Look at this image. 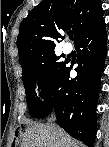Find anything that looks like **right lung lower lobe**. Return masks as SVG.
Instances as JSON below:
<instances>
[{
	"label": "right lung lower lobe",
	"mask_w": 109,
	"mask_h": 147,
	"mask_svg": "<svg viewBox=\"0 0 109 147\" xmlns=\"http://www.w3.org/2000/svg\"><path fill=\"white\" fill-rule=\"evenodd\" d=\"M106 40L102 16L74 42L78 51L77 77L69 79L72 66L69 68L65 63L37 116L42 118L54 111L58 124L89 147L94 145L97 131L96 106L107 53Z\"/></svg>",
	"instance_id": "obj_1"
}]
</instances>
